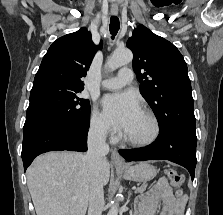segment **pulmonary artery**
Instances as JSON below:
<instances>
[{"instance_id":"e3ab8cb5","label":"pulmonary artery","mask_w":223,"mask_h":215,"mask_svg":"<svg viewBox=\"0 0 223 215\" xmlns=\"http://www.w3.org/2000/svg\"><path fill=\"white\" fill-rule=\"evenodd\" d=\"M133 80L132 69H119L112 77L101 82L105 89H119Z\"/></svg>"}]
</instances>
